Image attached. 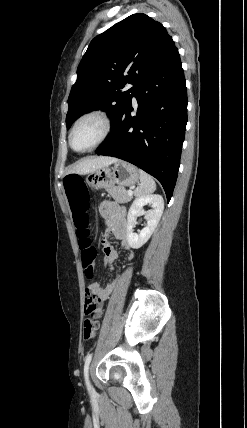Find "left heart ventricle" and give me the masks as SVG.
<instances>
[{
  "instance_id": "1",
  "label": "left heart ventricle",
  "mask_w": 247,
  "mask_h": 428,
  "mask_svg": "<svg viewBox=\"0 0 247 428\" xmlns=\"http://www.w3.org/2000/svg\"><path fill=\"white\" fill-rule=\"evenodd\" d=\"M103 124L97 118H88L79 123L73 134V145L78 149L92 146L101 136Z\"/></svg>"
}]
</instances>
